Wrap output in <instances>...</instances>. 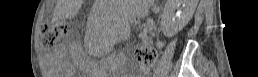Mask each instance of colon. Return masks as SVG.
<instances>
[{
	"label": "colon",
	"mask_w": 258,
	"mask_h": 77,
	"mask_svg": "<svg viewBox=\"0 0 258 77\" xmlns=\"http://www.w3.org/2000/svg\"><path fill=\"white\" fill-rule=\"evenodd\" d=\"M67 30L63 24H47L43 27L45 40L56 42ZM157 51L151 42L143 43L135 51V60L138 65L145 71H149L155 64Z\"/></svg>",
	"instance_id": "5ec220e1"
}]
</instances>
